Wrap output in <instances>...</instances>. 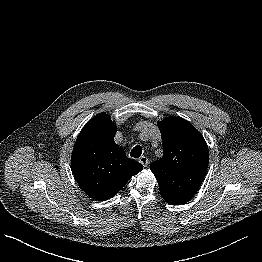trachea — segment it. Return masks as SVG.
Listing matches in <instances>:
<instances>
[{
	"label": "trachea",
	"instance_id": "obj_1",
	"mask_svg": "<svg viewBox=\"0 0 262 262\" xmlns=\"http://www.w3.org/2000/svg\"><path fill=\"white\" fill-rule=\"evenodd\" d=\"M142 154V147L137 145L135 146L132 150H131V153H130V156L131 157H134V158H138L140 157Z\"/></svg>",
	"mask_w": 262,
	"mask_h": 262
}]
</instances>
